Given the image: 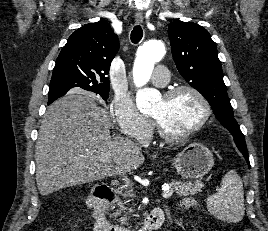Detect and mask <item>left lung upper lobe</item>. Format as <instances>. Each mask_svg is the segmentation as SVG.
Returning a JSON list of instances; mask_svg holds the SVG:
<instances>
[{
	"instance_id": "1",
	"label": "left lung upper lobe",
	"mask_w": 268,
	"mask_h": 231,
	"mask_svg": "<svg viewBox=\"0 0 268 231\" xmlns=\"http://www.w3.org/2000/svg\"><path fill=\"white\" fill-rule=\"evenodd\" d=\"M168 35L179 73L207 99L217 119L232 134L238 149L247 152L227 95L216 45L209 32L196 23L176 21L169 24Z\"/></svg>"
}]
</instances>
